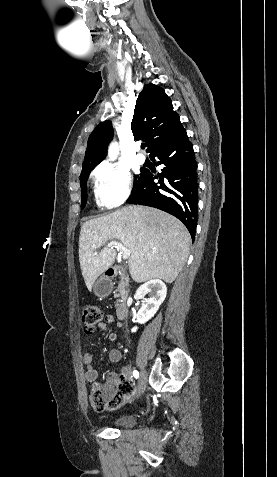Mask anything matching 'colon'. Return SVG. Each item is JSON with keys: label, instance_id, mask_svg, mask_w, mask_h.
<instances>
[{"label": "colon", "instance_id": "5ec220e1", "mask_svg": "<svg viewBox=\"0 0 277 477\" xmlns=\"http://www.w3.org/2000/svg\"><path fill=\"white\" fill-rule=\"evenodd\" d=\"M103 317L101 308L95 303L83 307L82 322L87 334H92ZM133 387L129 381L96 384L90 395L91 407L98 412L111 411L118 408L132 393Z\"/></svg>", "mask_w": 277, "mask_h": 477}]
</instances>
